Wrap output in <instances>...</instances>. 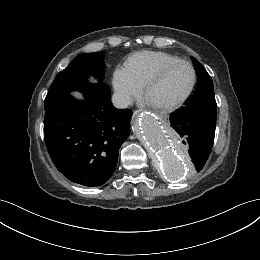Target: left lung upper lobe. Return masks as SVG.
Returning <instances> with one entry per match:
<instances>
[{
  "mask_svg": "<svg viewBox=\"0 0 260 260\" xmlns=\"http://www.w3.org/2000/svg\"><path fill=\"white\" fill-rule=\"evenodd\" d=\"M194 64L198 74V84L191 100L185 108H192L205 103L216 104L213 82L210 75L196 59H194Z\"/></svg>",
  "mask_w": 260,
  "mask_h": 260,
  "instance_id": "obj_1",
  "label": "left lung upper lobe"
}]
</instances>
